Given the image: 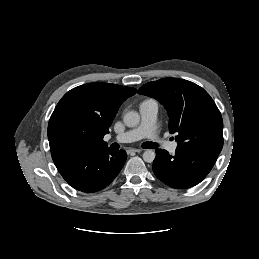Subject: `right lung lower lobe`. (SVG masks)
Instances as JSON below:
<instances>
[{
	"label": "right lung lower lobe",
	"instance_id": "98d812e1",
	"mask_svg": "<svg viewBox=\"0 0 259 259\" xmlns=\"http://www.w3.org/2000/svg\"><path fill=\"white\" fill-rule=\"evenodd\" d=\"M127 154L109 148L53 159L58 171L73 188L96 192L108 186L121 171Z\"/></svg>",
	"mask_w": 259,
	"mask_h": 259
}]
</instances>
